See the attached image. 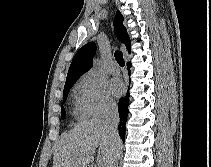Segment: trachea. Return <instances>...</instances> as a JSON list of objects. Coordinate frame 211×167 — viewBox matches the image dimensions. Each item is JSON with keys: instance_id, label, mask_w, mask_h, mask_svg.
<instances>
[{"instance_id": "3493384b", "label": "trachea", "mask_w": 211, "mask_h": 167, "mask_svg": "<svg viewBox=\"0 0 211 167\" xmlns=\"http://www.w3.org/2000/svg\"><path fill=\"white\" fill-rule=\"evenodd\" d=\"M114 55H115V59H116V61L118 62V64H119L121 67H123V66L125 65V61H124L122 52L116 51Z\"/></svg>"}]
</instances>
